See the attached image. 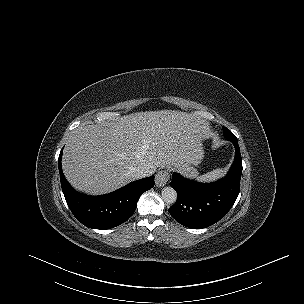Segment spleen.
I'll list each match as a JSON object with an SVG mask.
<instances>
[{
	"mask_svg": "<svg viewBox=\"0 0 304 304\" xmlns=\"http://www.w3.org/2000/svg\"><path fill=\"white\" fill-rule=\"evenodd\" d=\"M226 170L221 168V169H216L204 176L200 177V180H204V181H212L215 179H218L220 177H222L225 174Z\"/></svg>",
	"mask_w": 304,
	"mask_h": 304,
	"instance_id": "obj_1",
	"label": "spleen"
}]
</instances>
